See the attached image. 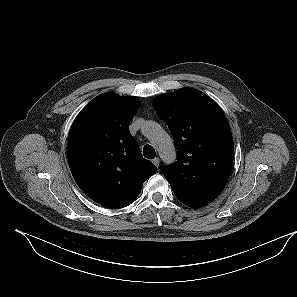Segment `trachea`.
<instances>
[{
  "label": "trachea",
  "mask_w": 297,
  "mask_h": 297,
  "mask_svg": "<svg viewBox=\"0 0 297 297\" xmlns=\"http://www.w3.org/2000/svg\"><path fill=\"white\" fill-rule=\"evenodd\" d=\"M143 155L148 159H154L156 153L154 148L151 145H145L143 148Z\"/></svg>",
  "instance_id": "1"
}]
</instances>
